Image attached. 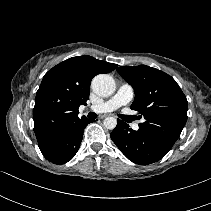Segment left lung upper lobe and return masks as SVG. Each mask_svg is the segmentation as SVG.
I'll return each mask as SVG.
<instances>
[{
	"label": "left lung upper lobe",
	"mask_w": 211,
	"mask_h": 211,
	"mask_svg": "<svg viewBox=\"0 0 211 211\" xmlns=\"http://www.w3.org/2000/svg\"><path fill=\"white\" fill-rule=\"evenodd\" d=\"M117 71L135 91L131 109L145 120L140 129L172 148L187 121V99L179 85L168 74L146 65L122 66Z\"/></svg>",
	"instance_id": "left-lung-upper-lobe-1"
}]
</instances>
